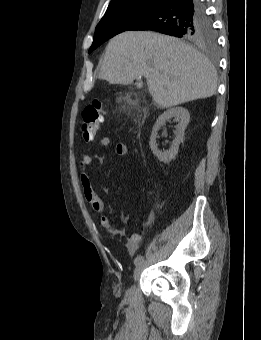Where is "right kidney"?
Returning a JSON list of instances; mask_svg holds the SVG:
<instances>
[{
	"mask_svg": "<svg viewBox=\"0 0 261 340\" xmlns=\"http://www.w3.org/2000/svg\"><path fill=\"white\" fill-rule=\"evenodd\" d=\"M174 118L178 125L176 126V137L172 142V145L169 150L161 152L158 150L156 144V135L159 128L165 125L166 121ZM190 114L187 109L183 107H174L165 111L162 115H160L153 127L151 137H150V148L153 154L158 158L159 161L164 163H169L178 153L179 145L183 140L184 131L189 123Z\"/></svg>",
	"mask_w": 261,
	"mask_h": 340,
	"instance_id": "right-kidney-1",
	"label": "right kidney"
}]
</instances>
